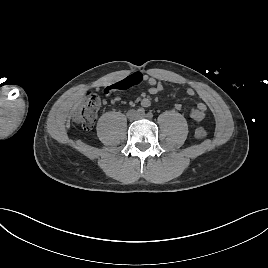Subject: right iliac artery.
<instances>
[{
    "label": "right iliac artery",
    "instance_id": "82829eb1",
    "mask_svg": "<svg viewBox=\"0 0 268 268\" xmlns=\"http://www.w3.org/2000/svg\"><path fill=\"white\" fill-rule=\"evenodd\" d=\"M137 113H138V114H145V110H144V108H142V107L138 108V109H137Z\"/></svg>",
    "mask_w": 268,
    "mask_h": 268
}]
</instances>
